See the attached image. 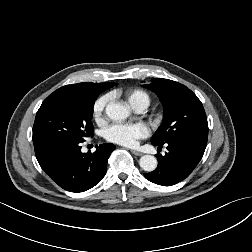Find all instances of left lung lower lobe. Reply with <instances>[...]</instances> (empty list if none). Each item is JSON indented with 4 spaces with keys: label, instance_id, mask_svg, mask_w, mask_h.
I'll list each match as a JSON object with an SVG mask.
<instances>
[{
    "label": "left lung lower lobe",
    "instance_id": "left-lung-lower-lobe-1",
    "mask_svg": "<svg viewBox=\"0 0 252 252\" xmlns=\"http://www.w3.org/2000/svg\"><path fill=\"white\" fill-rule=\"evenodd\" d=\"M166 145L168 152L164 156L156 155L158 167L150 173H144V176L158 185L171 186L188 177L197 166L204 154L207 140L185 137L168 142Z\"/></svg>",
    "mask_w": 252,
    "mask_h": 252
}]
</instances>
